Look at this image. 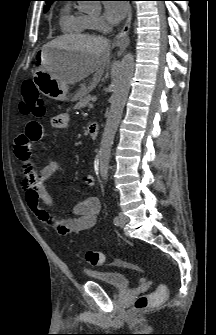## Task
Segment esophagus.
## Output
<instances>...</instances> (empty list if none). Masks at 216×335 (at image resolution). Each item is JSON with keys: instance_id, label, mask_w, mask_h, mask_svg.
Segmentation results:
<instances>
[{"instance_id": "34e87169", "label": "esophagus", "mask_w": 216, "mask_h": 335, "mask_svg": "<svg viewBox=\"0 0 216 335\" xmlns=\"http://www.w3.org/2000/svg\"><path fill=\"white\" fill-rule=\"evenodd\" d=\"M132 16H133V11H132V6L130 5V10H129V14L125 22V25L123 26L122 30L116 35L114 39L115 45L119 46L122 50L126 49L130 43L128 34H129L130 26H131Z\"/></svg>"}]
</instances>
